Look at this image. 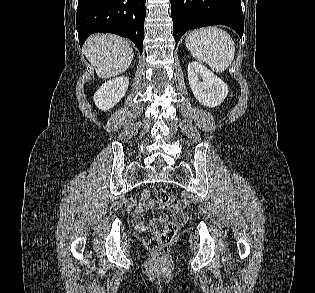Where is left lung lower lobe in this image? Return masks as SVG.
<instances>
[{
	"label": "left lung lower lobe",
	"instance_id": "left-lung-lower-lobe-1",
	"mask_svg": "<svg viewBox=\"0 0 315 293\" xmlns=\"http://www.w3.org/2000/svg\"><path fill=\"white\" fill-rule=\"evenodd\" d=\"M171 15L176 44L191 29L222 24L242 38L244 20L241 0H172Z\"/></svg>",
	"mask_w": 315,
	"mask_h": 293
}]
</instances>
